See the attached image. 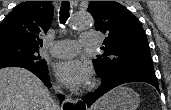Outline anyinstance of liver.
Wrapping results in <instances>:
<instances>
[{
	"instance_id": "obj_1",
	"label": "liver",
	"mask_w": 171,
	"mask_h": 110,
	"mask_svg": "<svg viewBox=\"0 0 171 110\" xmlns=\"http://www.w3.org/2000/svg\"><path fill=\"white\" fill-rule=\"evenodd\" d=\"M102 101L92 110H99ZM48 89L32 72L23 68L0 69V110H58Z\"/></svg>"
}]
</instances>
